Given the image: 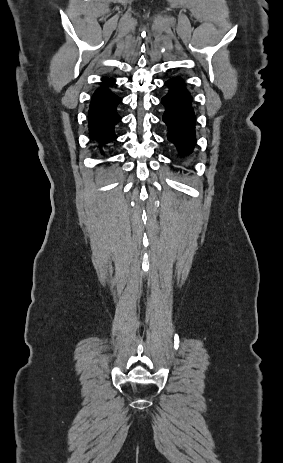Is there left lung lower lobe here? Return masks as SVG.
<instances>
[{
	"mask_svg": "<svg viewBox=\"0 0 283 463\" xmlns=\"http://www.w3.org/2000/svg\"><path fill=\"white\" fill-rule=\"evenodd\" d=\"M165 85L169 87V92L161 103L166 108L163 121L168 126V140L176 145L181 154H189L195 145V117L191 95L181 79L172 78Z\"/></svg>",
	"mask_w": 283,
	"mask_h": 463,
	"instance_id": "obj_1",
	"label": "left lung lower lobe"
}]
</instances>
